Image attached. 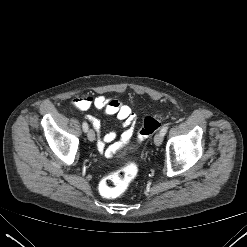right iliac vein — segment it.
Instances as JSON below:
<instances>
[{
  "label": "right iliac vein",
  "instance_id": "right-iliac-vein-1",
  "mask_svg": "<svg viewBox=\"0 0 247 247\" xmlns=\"http://www.w3.org/2000/svg\"><path fill=\"white\" fill-rule=\"evenodd\" d=\"M87 137H88V140L93 142L95 140V133L92 129H89L87 131Z\"/></svg>",
  "mask_w": 247,
  "mask_h": 247
}]
</instances>
